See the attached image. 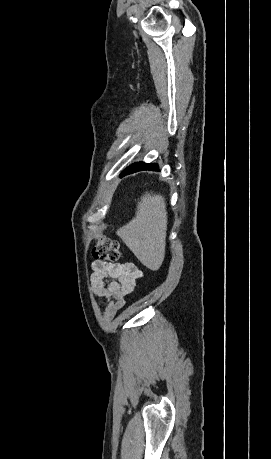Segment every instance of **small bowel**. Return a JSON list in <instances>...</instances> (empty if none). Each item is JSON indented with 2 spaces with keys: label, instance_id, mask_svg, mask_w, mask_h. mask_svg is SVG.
Listing matches in <instances>:
<instances>
[{
  "label": "small bowel",
  "instance_id": "1",
  "mask_svg": "<svg viewBox=\"0 0 271 459\" xmlns=\"http://www.w3.org/2000/svg\"><path fill=\"white\" fill-rule=\"evenodd\" d=\"M92 291L108 299L104 308V317L110 320L124 307L125 296L137 288L143 272L131 263H108L95 261L92 265Z\"/></svg>",
  "mask_w": 271,
  "mask_h": 459
}]
</instances>
